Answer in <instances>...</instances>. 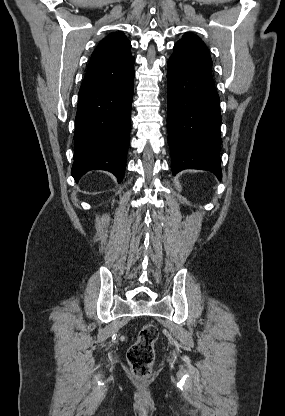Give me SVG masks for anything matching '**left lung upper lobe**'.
Masks as SVG:
<instances>
[{
    "label": "left lung upper lobe",
    "instance_id": "5c2ea615",
    "mask_svg": "<svg viewBox=\"0 0 285 416\" xmlns=\"http://www.w3.org/2000/svg\"><path fill=\"white\" fill-rule=\"evenodd\" d=\"M170 58L179 60L198 72L212 77V60L205 43L197 36L187 33L176 42Z\"/></svg>",
    "mask_w": 285,
    "mask_h": 416
}]
</instances>
